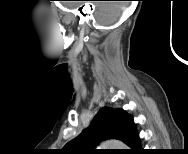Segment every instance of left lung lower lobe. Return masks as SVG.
I'll use <instances>...</instances> for the list:
<instances>
[{"instance_id": "0a47b994", "label": "left lung lower lobe", "mask_w": 188, "mask_h": 154, "mask_svg": "<svg viewBox=\"0 0 188 154\" xmlns=\"http://www.w3.org/2000/svg\"><path fill=\"white\" fill-rule=\"evenodd\" d=\"M123 142L130 147L129 151L141 150L140 149V138L136 131V126L133 121V118L129 122L126 137Z\"/></svg>"}]
</instances>
